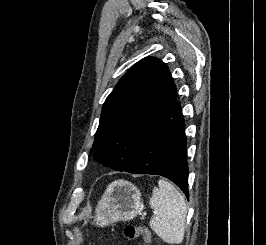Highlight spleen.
Here are the masks:
<instances>
[{"instance_id":"spleen-1","label":"spleen","mask_w":266,"mask_h":245,"mask_svg":"<svg viewBox=\"0 0 266 245\" xmlns=\"http://www.w3.org/2000/svg\"><path fill=\"white\" fill-rule=\"evenodd\" d=\"M158 185V189L154 187L149 199V205L154 209L150 227L165 243L180 245L185 235L187 213L185 199L174 185L165 179L158 181Z\"/></svg>"}]
</instances>
